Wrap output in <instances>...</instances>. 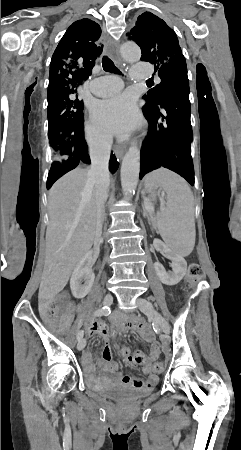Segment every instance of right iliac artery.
Here are the masks:
<instances>
[{
  "instance_id": "right-iliac-artery-1",
  "label": "right iliac artery",
  "mask_w": 241,
  "mask_h": 450,
  "mask_svg": "<svg viewBox=\"0 0 241 450\" xmlns=\"http://www.w3.org/2000/svg\"><path fill=\"white\" fill-rule=\"evenodd\" d=\"M110 313V308L108 306H104L100 309H97L94 313V317L106 316ZM83 338V330H80L77 334V339L81 340Z\"/></svg>"
}]
</instances>
